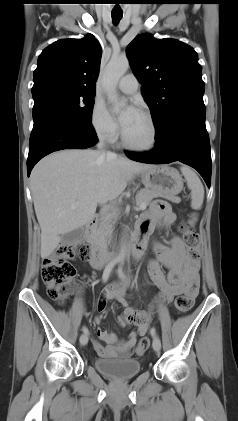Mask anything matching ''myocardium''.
<instances>
[{"label": "myocardium", "instance_id": "f54148a6", "mask_svg": "<svg viewBox=\"0 0 238 421\" xmlns=\"http://www.w3.org/2000/svg\"><path fill=\"white\" fill-rule=\"evenodd\" d=\"M138 113H140L141 115H143L149 122L150 128H151V139L150 142L146 145L143 146H138V145H134L131 142H129V140L127 139V137L125 136L123 127L121 128V141L122 144L125 148L131 150V151H135V152H149L152 151L156 146H157V141H158V129H157V125L156 122L153 118V116L151 115L150 112L144 110V109H140L137 111Z\"/></svg>", "mask_w": 238, "mask_h": 421}]
</instances>
